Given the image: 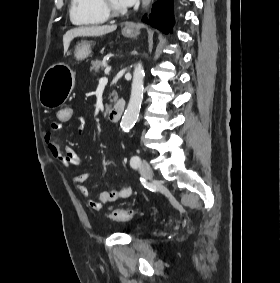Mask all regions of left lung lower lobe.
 <instances>
[{"mask_svg": "<svg viewBox=\"0 0 280 283\" xmlns=\"http://www.w3.org/2000/svg\"><path fill=\"white\" fill-rule=\"evenodd\" d=\"M142 21L168 34L173 25L172 1L159 0L154 4L149 18L144 16Z\"/></svg>", "mask_w": 280, "mask_h": 283, "instance_id": "left-lung-lower-lobe-1", "label": "left lung lower lobe"}]
</instances>
